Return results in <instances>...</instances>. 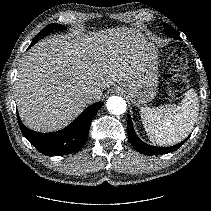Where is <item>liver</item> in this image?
<instances>
[{
	"label": "liver",
	"mask_w": 211,
	"mask_h": 211,
	"mask_svg": "<svg viewBox=\"0 0 211 211\" xmlns=\"http://www.w3.org/2000/svg\"><path fill=\"white\" fill-rule=\"evenodd\" d=\"M148 45L131 28H111L45 38L23 57L15 81L20 118L32 130L63 129L87 106V91L130 81L141 70Z\"/></svg>",
	"instance_id": "6515ba94"
}]
</instances>
